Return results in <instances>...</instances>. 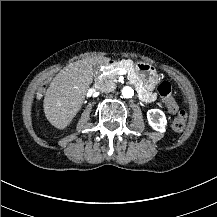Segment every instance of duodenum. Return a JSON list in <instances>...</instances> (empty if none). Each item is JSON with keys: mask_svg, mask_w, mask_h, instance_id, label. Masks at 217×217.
I'll use <instances>...</instances> for the list:
<instances>
[{"mask_svg": "<svg viewBox=\"0 0 217 217\" xmlns=\"http://www.w3.org/2000/svg\"><path fill=\"white\" fill-rule=\"evenodd\" d=\"M116 62L115 61H112V60H106L104 61V65L105 66H112L114 65Z\"/></svg>", "mask_w": 217, "mask_h": 217, "instance_id": "1", "label": "duodenum"}]
</instances>
